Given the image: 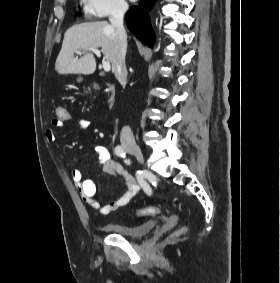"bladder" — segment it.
Returning a JSON list of instances; mask_svg holds the SVG:
<instances>
[{
  "label": "bladder",
  "instance_id": "obj_1",
  "mask_svg": "<svg viewBox=\"0 0 280 283\" xmlns=\"http://www.w3.org/2000/svg\"><path fill=\"white\" fill-rule=\"evenodd\" d=\"M156 226L157 222L155 221H147L136 226L125 223H109L104 226V229L121 237L140 238L150 233Z\"/></svg>",
  "mask_w": 280,
  "mask_h": 283
}]
</instances>
